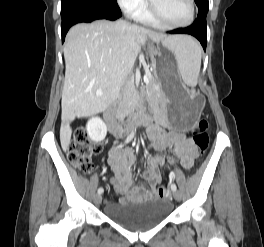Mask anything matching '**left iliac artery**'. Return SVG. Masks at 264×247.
<instances>
[{"label":"left iliac artery","instance_id":"left-iliac-artery-1","mask_svg":"<svg viewBox=\"0 0 264 247\" xmlns=\"http://www.w3.org/2000/svg\"><path fill=\"white\" fill-rule=\"evenodd\" d=\"M170 176H172V174H170ZM171 190L172 191H176L177 190V187H176V185L174 183L171 184Z\"/></svg>","mask_w":264,"mask_h":247}]
</instances>
